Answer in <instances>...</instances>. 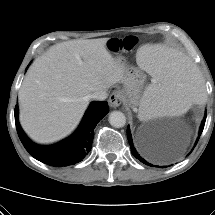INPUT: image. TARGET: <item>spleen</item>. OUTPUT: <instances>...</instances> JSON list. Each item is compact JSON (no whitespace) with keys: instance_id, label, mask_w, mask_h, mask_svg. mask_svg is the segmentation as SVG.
Segmentation results:
<instances>
[{"instance_id":"obj_1","label":"spleen","mask_w":215,"mask_h":215,"mask_svg":"<svg viewBox=\"0 0 215 215\" xmlns=\"http://www.w3.org/2000/svg\"><path fill=\"white\" fill-rule=\"evenodd\" d=\"M137 63L152 77L140 103V112L146 118L179 115L192 102L204 101V85L189 57L158 46H144L138 51Z\"/></svg>"}]
</instances>
